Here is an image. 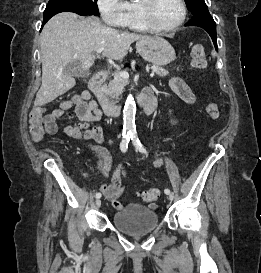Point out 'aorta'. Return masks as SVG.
I'll use <instances>...</instances> for the list:
<instances>
[{
    "instance_id": "obj_1",
    "label": "aorta",
    "mask_w": 261,
    "mask_h": 273,
    "mask_svg": "<svg viewBox=\"0 0 261 273\" xmlns=\"http://www.w3.org/2000/svg\"><path fill=\"white\" fill-rule=\"evenodd\" d=\"M136 104L132 95L126 99L123 111L124 127L128 130L135 129Z\"/></svg>"
}]
</instances>
